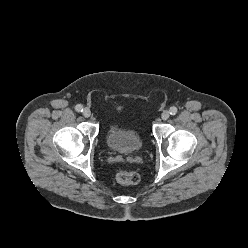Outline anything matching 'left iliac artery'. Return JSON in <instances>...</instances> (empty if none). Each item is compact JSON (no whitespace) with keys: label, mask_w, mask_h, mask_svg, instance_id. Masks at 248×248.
<instances>
[{"label":"left iliac artery","mask_w":248,"mask_h":248,"mask_svg":"<svg viewBox=\"0 0 248 248\" xmlns=\"http://www.w3.org/2000/svg\"><path fill=\"white\" fill-rule=\"evenodd\" d=\"M169 111H170V114H171V115H175V114L177 113L178 110H177L176 107L173 106V107L170 108Z\"/></svg>","instance_id":"44dca946"}]
</instances>
